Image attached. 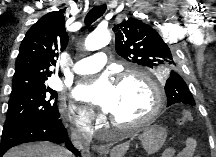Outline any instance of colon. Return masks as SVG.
<instances>
[{
  "instance_id": "colon-1",
  "label": "colon",
  "mask_w": 216,
  "mask_h": 157,
  "mask_svg": "<svg viewBox=\"0 0 216 157\" xmlns=\"http://www.w3.org/2000/svg\"><path fill=\"white\" fill-rule=\"evenodd\" d=\"M178 124L185 125L192 121V114L188 110H183L178 118Z\"/></svg>"
}]
</instances>
